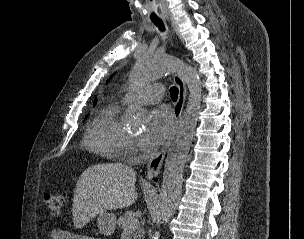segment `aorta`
Returning a JSON list of instances; mask_svg holds the SVG:
<instances>
[{
    "instance_id": "762f6f07",
    "label": "aorta",
    "mask_w": 304,
    "mask_h": 239,
    "mask_svg": "<svg viewBox=\"0 0 304 239\" xmlns=\"http://www.w3.org/2000/svg\"><path fill=\"white\" fill-rule=\"evenodd\" d=\"M175 71L181 72L189 89V98L172 136L165 161L159 202V215L162 223H167L174 215L181 198L183 170L201 108L202 83L195 68L168 55L140 57L136 61L130 79V86L135 88ZM127 116L137 122L144 119V113L132 107L128 110Z\"/></svg>"
}]
</instances>
